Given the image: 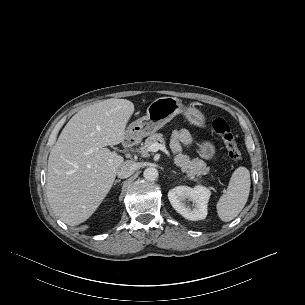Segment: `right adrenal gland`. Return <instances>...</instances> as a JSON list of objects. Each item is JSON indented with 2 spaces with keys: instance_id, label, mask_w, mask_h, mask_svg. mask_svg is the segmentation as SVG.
Wrapping results in <instances>:
<instances>
[{
  "instance_id": "2a0ac1e0",
  "label": "right adrenal gland",
  "mask_w": 305,
  "mask_h": 305,
  "mask_svg": "<svg viewBox=\"0 0 305 305\" xmlns=\"http://www.w3.org/2000/svg\"><path fill=\"white\" fill-rule=\"evenodd\" d=\"M121 182V179H117L114 181L113 185L115 186L117 183H120Z\"/></svg>"
}]
</instances>
